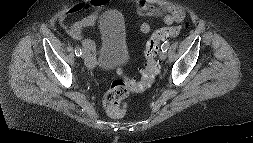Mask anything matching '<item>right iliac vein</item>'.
<instances>
[{"instance_id": "right-iliac-vein-1", "label": "right iliac vein", "mask_w": 253, "mask_h": 143, "mask_svg": "<svg viewBox=\"0 0 253 143\" xmlns=\"http://www.w3.org/2000/svg\"><path fill=\"white\" fill-rule=\"evenodd\" d=\"M82 56H83L85 62H90L92 59L91 51L86 47L83 48V55Z\"/></svg>"}]
</instances>
